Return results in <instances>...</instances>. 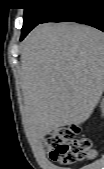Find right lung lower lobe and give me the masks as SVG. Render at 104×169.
I'll return each mask as SVG.
<instances>
[{
    "label": "right lung lower lobe",
    "instance_id": "obj_1",
    "mask_svg": "<svg viewBox=\"0 0 104 169\" xmlns=\"http://www.w3.org/2000/svg\"><path fill=\"white\" fill-rule=\"evenodd\" d=\"M57 6L41 22H77L104 31V0H55Z\"/></svg>",
    "mask_w": 104,
    "mask_h": 169
}]
</instances>
